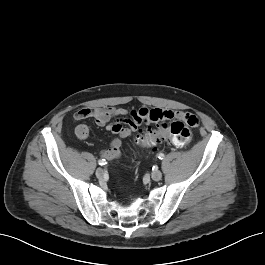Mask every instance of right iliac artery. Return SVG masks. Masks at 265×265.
I'll return each mask as SVG.
<instances>
[{"mask_svg":"<svg viewBox=\"0 0 265 265\" xmlns=\"http://www.w3.org/2000/svg\"><path fill=\"white\" fill-rule=\"evenodd\" d=\"M98 163H99V165H105V164H107V162L105 161V159L98 160Z\"/></svg>","mask_w":265,"mask_h":265,"instance_id":"right-iliac-artery-1","label":"right iliac artery"}]
</instances>
